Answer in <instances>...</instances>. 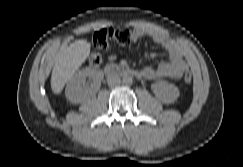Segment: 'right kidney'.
Returning a JSON list of instances; mask_svg holds the SVG:
<instances>
[{"mask_svg":"<svg viewBox=\"0 0 243 167\" xmlns=\"http://www.w3.org/2000/svg\"><path fill=\"white\" fill-rule=\"evenodd\" d=\"M87 79L91 82H88ZM102 80V71L92 68H85L79 71L66 86L65 95L67 100L74 104L82 103L99 90Z\"/></svg>","mask_w":243,"mask_h":167,"instance_id":"right-kidney-1","label":"right kidney"}]
</instances>
